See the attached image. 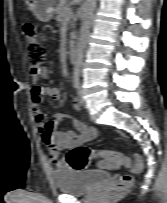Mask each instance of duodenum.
Instances as JSON below:
<instances>
[{
	"mask_svg": "<svg viewBox=\"0 0 167 203\" xmlns=\"http://www.w3.org/2000/svg\"><path fill=\"white\" fill-rule=\"evenodd\" d=\"M67 58L71 62L75 61V58H76V47H75V45H69L68 46Z\"/></svg>",
	"mask_w": 167,
	"mask_h": 203,
	"instance_id": "1",
	"label": "duodenum"
}]
</instances>
